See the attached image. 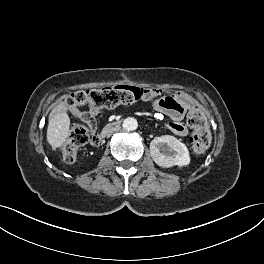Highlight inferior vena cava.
Returning <instances> with one entry per match:
<instances>
[{
	"mask_svg": "<svg viewBox=\"0 0 264 264\" xmlns=\"http://www.w3.org/2000/svg\"><path fill=\"white\" fill-rule=\"evenodd\" d=\"M122 126L120 125L118 128H116L115 130H110L109 135L107 136L109 139L112 137V135L118 134L122 131Z\"/></svg>",
	"mask_w": 264,
	"mask_h": 264,
	"instance_id": "1",
	"label": "inferior vena cava"
}]
</instances>
